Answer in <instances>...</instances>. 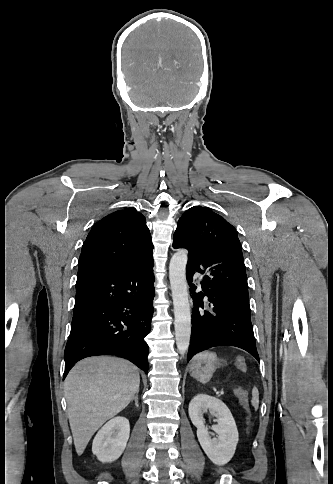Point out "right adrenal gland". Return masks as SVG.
Masks as SVG:
<instances>
[{"label":"right adrenal gland","instance_id":"2a0ac1e0","mask_svg":"<svg viewBox=\"0 0 333 484\" xmlns=\"http://www.w3.org/2000/svg\"><path fill=\"white\" fill-rule=\"evenodd\" d=\"M135 401V405L136 407L138 408V392L136 393V395L132 398V401Z\"/></svg>","mask_w":333,"mask_h":484}]
</instances>
